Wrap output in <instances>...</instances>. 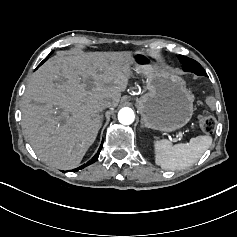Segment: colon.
I'll list each match as a JSON object with an SVG mask.
<instances>
[{"label": "colon", "instance_id": "1", "mask_svg": "<svg viewBox=\"0 0 237 237\" xmlns=\"http://www.w3.org/2000/svg\"><path fill=\"white\" fill-rule=\"evenodd\" d=\"M208 105L214 107L216 105V99L213 96L208 98ZM200 129L205 133H211L216 127V120L210 114H202L198 120Z\"/></svg>", "mask_w": 237, "mask_h": 237}]
</instances>
